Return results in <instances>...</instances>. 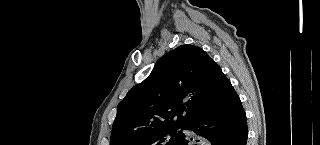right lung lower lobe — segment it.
<instances>
[{"label":"right lung lower lobe","mask_w":320,"mask_h":145,"mask_svg":"<svg viewBox=\"0 0 320 145\" xmlns=\"http://www.w3.org/2000/svg\"><path fill=\"white\" fill-rule=\"evenodd\" d=\"M215 94L209 110L183 127L200 136V139L183 135L178 145H246V114L225 75L220 79Z\"/></svg>","instance_id":"98d812e1"}]
</instances>
